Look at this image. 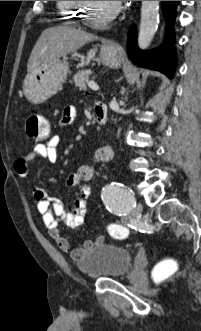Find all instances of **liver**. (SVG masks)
Here are the masks:
<instances>
[{
	"instance_id": "obj_1",
	"label": "liver",
	"mask_w": 201,
	"mask_h": 331,
	"mask_svg": "<svg viewBox=\"0 0 201 331\" xmlns=\"http://www.w3.org/2000/svg\"><path fill=\"white\" fill-rule=\"evenodd\" d=\"M96 39L97 36L70 26L45 29L30 54L27 72L36 73L47 64L75 52L85 43Z\"/></svg>"
}]
</instances>
